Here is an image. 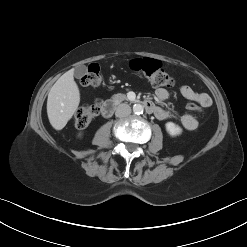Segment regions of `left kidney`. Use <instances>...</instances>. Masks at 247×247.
Returning <instances> with one entry per match:
<instances>
[{
  "instance_id": "1",
  "label": "left kidney",
  "mask_w": 247,
  "mask_h": 247,
  "mask_svg": "<svg viewBox=\"0 0 247 247\" xmlns=\"http://www.w3.org/2000/svg\"><path fill=\"white\" fill-rule=\"evenodd\" d=\"M165 127H166V131L172 137L178 136L182 133V128L173 122H167L165 124Z\"/></svg>"
}]
</instances>
